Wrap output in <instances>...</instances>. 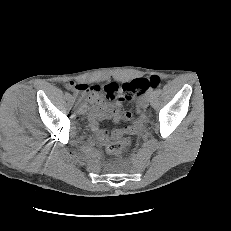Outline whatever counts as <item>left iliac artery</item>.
Here are the masks:
<instances>
[{
	"label": "left iliac artery",
	"instance_id": "44dca946",
	"mask_svg": "<svg viewBox=\"0 0 231 231\" xmlns=\"http://www.w3.org/2000/svg\"><path fill=\"white\" fill-rule=\"evenodd\" d=\"M152 93H153V90L150 89L149 92H148V95H149V94L151 95Z\"/></svg>",
	"mask_w": 231,
	"mask_h": 231
}]
</instances>
